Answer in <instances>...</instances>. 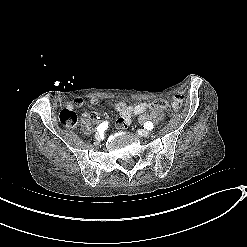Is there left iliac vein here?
<instances>
[{
    "mask_svg": "<svg viewBox=\"0 0 247 247\" xmlns=\"http://www.w3.org/2000/svg\"><path fill=\"white\" fill-rule=\"evenodd\" d=\"M138 134L143 136V137H147L149 135V131L143 130V129H139L138 130Z\"/></svg>",
    "mask_w": 247,
    "mask_h": 247,
    "instance_id": "4c4485c4",
    "label": "left iliac vein"
}]
</instances>
